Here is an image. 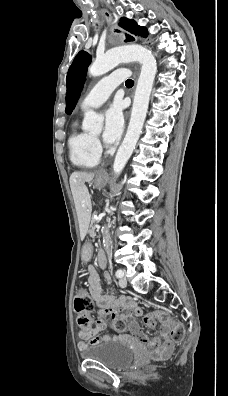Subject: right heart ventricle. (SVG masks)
Returning a JSON list of instances; mask_svg holds the SVG:
<instances>
[{
  "mask_svg": "<svg viewBox=\"0 0 228 396\" xmlns=\"http://www.w3.org/2000/svg\"><path fill=\"white\" fill-rule=\"evenodd\" d=\"M71 161L82 168H93L100 161V151L95 138L77 124L68 139Z\"/></svg>",
  "mask_w": 228,
  "mask_h": 396,
  "instance_id": "1",
  "label": "right heart ventricle"
}]
</instances>
